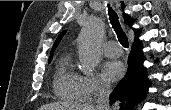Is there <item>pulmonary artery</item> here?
Here are the masks:
<instances>
[{
  "mask_svg": "<svg viewBox=\"0 0 171 110\" xmlns=\"http://www.w3.org/2000/svg\"><path fill=\"white\" fill-rule=\"evenodd\" d=\"M103 51L106 56L115 58L120 56L121 47L116 41L110 40L104 44Z\"/></svg>",
  "mask_w": 171,
  "mask_h": 110,
  "instance_id": "pulmonary-artery-1",
  "label": "pulmonary artery"
}]
</instances>
